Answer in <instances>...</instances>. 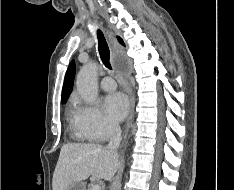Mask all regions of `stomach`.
<instances>
[{
	"label": "stomach",
	"mask_w": 234,
	"mask_h": 190,
	"mask_svg": "<svg viewBox=\"0 0 234 190\" xmlns=\"http://www.w3.org/2000/svg\"><path fill=\"white\" fill-rule=\"evenodd\" d=\"M66 190H86V185L82 181L74 182L70 184Z\"/></svg>",
	"instance_id": "1"
}]
</instances>
